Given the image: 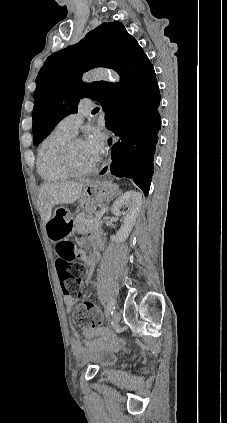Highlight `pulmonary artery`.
Instances as JSON below:
<instances>
[{
  "label": "pulmonary artery",
  "mask_w": 227,
  "mask_h": 423,
  "mask_svg": "<svg viewBox=\"0 0 227 423\" xmlns=\"http://www.w3.org/2000/svg\"><path fill=\"white\" fill-rule=\"evenodd\" d=\"M91 113L89 111H80L79 113L70 114L60 121L58 126L75 136L78 132L83 120H89Z\"/></svg>",
  "instance_id": "pulmonary-artery-1"
}]
</instances>
